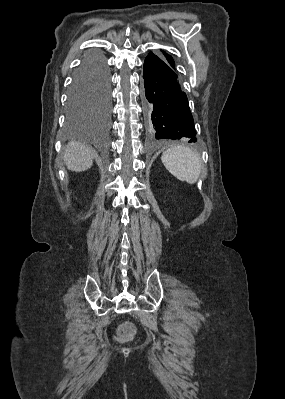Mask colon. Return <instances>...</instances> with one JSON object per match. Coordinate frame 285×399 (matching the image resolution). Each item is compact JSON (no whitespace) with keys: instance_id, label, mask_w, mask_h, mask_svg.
<instances>
[{"instance_id":"obj_1","label":"colon","mask_w":285,"mask_h":399,"mask_svg":"<svg viewBox=\"0 0 285 399\" xmlns=\"http://www.w3.org/2000/svg\"><path fill=\"white\" fill-rule=\"evenodd\" d=\"M135 329L131 325H123L119 328L118 338L121 340H127L134 336Z\"/></svg>"}]
</instances>
